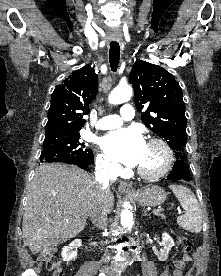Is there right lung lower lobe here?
<instances>
[{
	"label": "right lung lower lobe",
	"instance_id": "98d812e1",
	"mask_svg": "<svg viewBox=\"0 0 221 276\" xmlns=\"http://www.w3.org/2000/svg\"><path fill=\"white\" fill-rule=\"evenodd\" d=\"M64 163L78 165L82 169H87V167L89 165H91V164L94 163V160L93 161H89V162H86V161H65Z\"/></svg>",
	"mask_w": 221,
	"mask_h": 276
}]
</instances>
